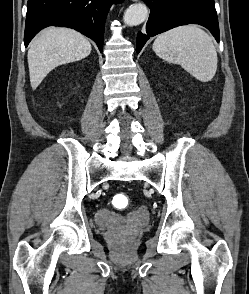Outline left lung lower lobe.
<instances>
[{
	"label": "left lung lower lobe",
	"instance_id": "1",
	"mask_svg": "<svg viewBox=\"0 0 249 294\" xmlns=\"http://www.w3.org/2000/svg\"><path fill=\"white\" fill-rule=\"evenodd\" d=\"M151 8L146 32L138 33L137 53L146 41L171 28L199 24L206 27L219 42V26L214 0H144Z\"/></svg>",
	"mask_w": 249,
	"mask_h": 294
}]
</instances>
